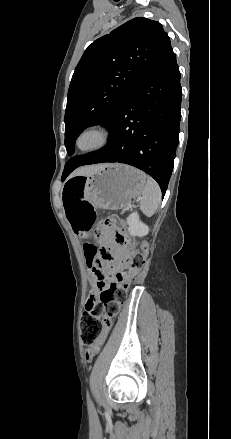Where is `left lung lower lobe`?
I'll list each match as a JSON object with an SVG mask.
<instances>
[{
    "label": "left lung lower lobe",
    "instance_id": "obj_1",
    "mask_svg": "<svg viewBox=\"0 0 231 439\" xmlns=\"http://www.w3.org/2000/svg\"><path fill=\"white\" fill-rule=\"evenodd\" d=\"M181 98L179 67L171 49L114 114L108 144L97 152L71 158L68 173L81 165L125 163L152 176L164 196L179 143Z\"/></svg>",
    "mask_w": 231,
    "mask_h": 439
}]
</instances>
